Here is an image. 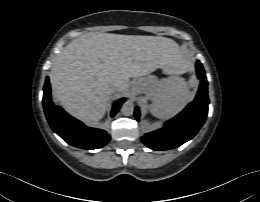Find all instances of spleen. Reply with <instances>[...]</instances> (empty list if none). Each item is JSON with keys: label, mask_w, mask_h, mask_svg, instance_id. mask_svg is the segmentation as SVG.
Segmentation results:
<instances>
[{"label": "spleen", "mask_w": 260, "mask_h": 202, "mask_svg": "<svg viewBox=\"0 0 260 202\" xmlns=\"http://www.w3.org/2000/svg\"><path fill=\"white\" fill-rule=\"evenodd\" d=\"M194 98L184 78L173 76L161 83L150 105L151 113L160 119H168L179 113Z\"/></svg>", "instance_id": "obj_1"}]
</instances>
